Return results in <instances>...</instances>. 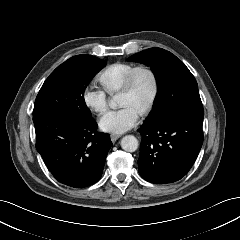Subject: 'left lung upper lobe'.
<instances>
[{"label":"left lung upper lobe","instance_id":"5c2ea615","mask_svg":"<svg viewBox=\"0 0 240 240\" xmlns=\"http://www.w3.org/2000/svg\"><path fill=\"white\" fill-rule=\"evenodd\" d=\"M128 60L150 66L157 80L156 109L144 123L157 124L177 114L204 116L197 82L175 55L161 48H149Z\"/></svg>","mask_w":240,"mask_h":240}]
</instances>
